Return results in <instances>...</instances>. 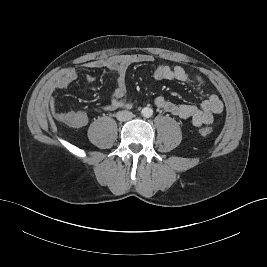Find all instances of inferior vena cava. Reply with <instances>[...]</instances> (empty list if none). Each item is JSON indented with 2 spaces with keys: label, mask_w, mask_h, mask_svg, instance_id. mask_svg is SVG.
I'll list each match as a JSON object with an SVG mask.
<instances>
[{
  "label": "inferior vena cava",
  "mask_w": 267,
  "mask_h": 267,
  "mask_svg": "<svg viewBox=\"0 0 267 267\" xmlns=\"http://www.w3.org/2000/svg\"><path fill=\"white\" fill-rule=\"evenodd\" d=\"M116 117L119 121H128L134 117V114L130 111L124 110L117 112Z\"/></svg>",
  "instance_id": "602c4592"
}]
</instances>
